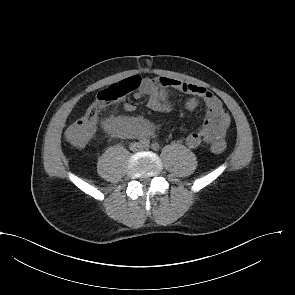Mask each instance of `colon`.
I'll return each instance as SVG.
<instances>
[{"label": "colon", "mask_w": 295, "mask_h": 295, "mask_svg": "<svg viewBox=\"0 0 295 295\" xmlns=\"http://www.w3.org/2000/svg\"><path fill=\"white\" fill-rule=\"evenodd\" d=\"M141 83L140 77L133 76L100 91L85 113L67 128L65 133L67 141L76 147L87 144L93 136L100 111L121 101L128 93L138 90ZM225 148V141H216L211 144V149L215 153H221Z\"/></svg>", "instance_id": "5ec220e1"}]
</instances>
